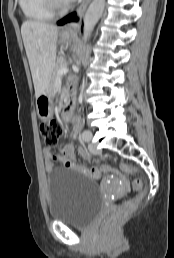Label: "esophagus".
Instances as JSON below:
<instances>
[{"instance_id":"1","label":"esophagus","mask_w":174,"mask_h":258,"mask_svg":"<svg viewBox=\"0 0 174 258\" xmlns=\"http://www.w3.org/2000/svg\"><path fill=\"white\" fill-rule=\"evenodd\" d=\"M90 1L91 0H83L81 2V4L79 5V7L76 10L77 15L79 17H81L83 15V13H84L86 7L88 6V4L90 3ZM79 28H80V25L77 22H71L63 28V32L72 33V32L79 30Z\"/></svg>"}]
</instances>
